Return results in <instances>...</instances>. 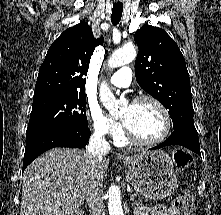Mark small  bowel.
Returning <instances> with one entry per match:
<instances>
[{
	"label": "small bowel",
	"instance_id": "obj_1",
	"mask_svg": "<svg viewBox=\"0 0 221 215\" xmlns=\"http://www.w3.org/2000/svg\"><path fill=\"white\" fill-rule=\"evenodd\" d=\"M135 215H180V211L175 207L157 205L153 208L139 207L136 209Z\"/></svg>",
	"mask_w": 221,
	"mask_h": 215
}]
</instances>
